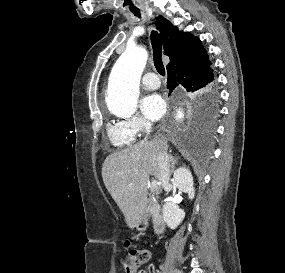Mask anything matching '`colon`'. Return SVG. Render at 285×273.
I'll return each instance as SVG.
<instances>
[{"instance_id":"colon-1","label":"colon","mask_w":285,"mask_h":273,"mask_svg":"<svg viewBox=\"0 0 285 273\" xmlns=\"http://www.w3.org/2000/svg\"><path fill=\"white\" fill-rule=\"evenodd\" d=\"M130 247V242L126 243ZM150 253L147 249L130 248L127 257L123 261L126 273H136L148 260Z\"/></svg>"}]
</instances>
